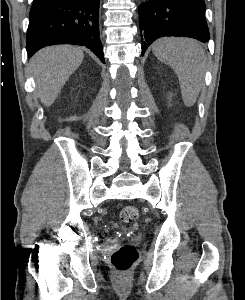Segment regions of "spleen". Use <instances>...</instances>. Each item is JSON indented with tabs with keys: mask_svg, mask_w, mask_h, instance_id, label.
Wrapping results in <instances>:
<instances>
[{
	"mask_svg": "<svg viewBox=\"0 0 245 300\" xmlns=\"http://www.w3.org/2000/svg\"><path fill=\"white\" fill-rule=\"evenodd\" d=\"M154 55L171 66L178 76L183 101L192 106L201 90L206 64L202 46L187 38H162L152 48Z\"/></svg>",
	"mask_w": 245,
	"mask_h": 300,
	"instance_id": "spleen-1",
	"label": "spleen"
}]
</instances>
